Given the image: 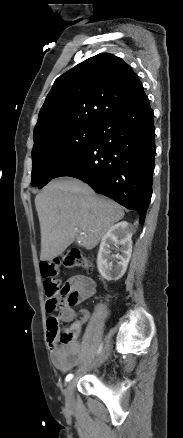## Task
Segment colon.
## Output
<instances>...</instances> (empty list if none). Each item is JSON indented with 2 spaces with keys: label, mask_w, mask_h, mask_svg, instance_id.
<instances>
[{
  "label": "colon",
  "mask_w": 183,
  "mask_h": 438,
  "mask_svg": "<svg viewBox=\"0 0 183 438\" xmlns=\"http://www.w3.org/2000/svg\"><path fill=\"white\" fill-rule=\"evenodd\" d=\"M61 267L91 269L92 259L77 249H69L60 258L44 261L40 264L46 295L45 308L51 314L47 321L48 330L53 335L59 336L62 342L67 343L76 337L77 330L72 326L60 330L58 317L54 313L57 312L64 302L72 305L76 304L78 302V294L66 284L60 288L58 276Z\"/></svg>",
  "instance_id": "1"
}]
</instances>
